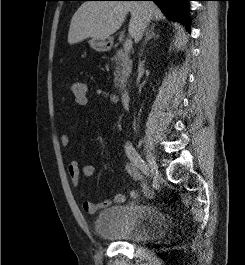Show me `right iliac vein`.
Returning <instances> with one entry per match:
<instances>
[{
  "label": "right iliac vein",
  "mask_w": 245,
  "mask_h": 265,
  "mask_svg": "<svg viewBox=\"0 0 245 265\" xmlns=\"http://www.w3.org/2000/svg\"><path fill=\"white\" fill-rule=\"evenodd\" d=\"M145 155H146V159L149 165L151 175L154 176L155 178L158 177L159 170H158L155 156L149 150H145Z\"/></svg>",
  "instance_id": "1"
}]
</instances>
